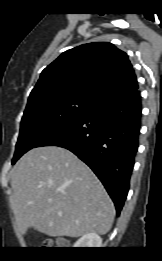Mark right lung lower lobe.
Listing matches in <instances>:
<instances>
[{
    "mask_svg": "<svg viewBox=\"0 0 162 261\" xmlns=\"http://www.w3.org/2000/svg\"><path fill=\"white\" fill-rule=\"evenodd\" d=\"M141 110L138 89L114 95L52 130L35 147L59 146L77 155L103 183L119 215L138 150Z\"/></svg>",
    "mask_w": 162,
    "mask_h": 261,
    "instance_id": "1",
    "label": "right lung lower lobe"
}]
</instances>
